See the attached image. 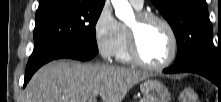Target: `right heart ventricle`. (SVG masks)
I'll list each match as a JSON object with an SVG mask.
<instances>
[{"mask_svg": "<svg viewBox=\"0 0 221 102\" xmlns=\"http://www.w3.org/2000/svg\"><path fill=\"white\" fill-rule=\"evenodd\" d=\"M123 30V39L121 42V45L119 47V50L117 52V58L119 61L123 63H130L132 62V59L130 57L128 46H127V33H126V27L122 25Z\"/></svg>", "mask_w": 221, "mask_h": 102, "instance_id": "1", "label": "right heart ventricle"}]
</instances>
